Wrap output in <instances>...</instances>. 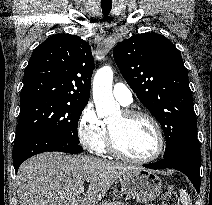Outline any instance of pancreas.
<instances>
[{
  "label": "pancreas",
  "mask_w": 212,
  "mask_h": 205,
  "mask_svg": "<svg viewBox=\"0 0 212 205\" xmlns=\"http://www.w3.org/2000/svg\"><path fill=\"white\" fill-rule=\"evenodd\" d=\"M99 205H124L120 202H103L102 204Z\"/></svg>",
  "instance_id": "cf45deb5"
}]
</instances>
